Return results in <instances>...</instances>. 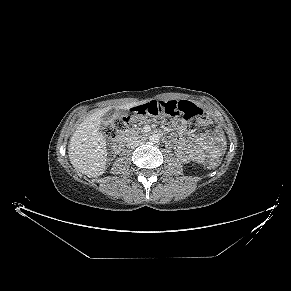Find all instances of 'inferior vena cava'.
<instances>
[{
	"mask_svg": "<svg viewBox=\"0 0 291 291\" xmlns=\"http://www.w3.org/2000/svg\"><path fill=\"white\" fill-rule=\"evenodd\" d=\"M141 144V139L137 136H132L127 140L126 146L128 148H135Z\"/></svg>",
	"mask_w": 291,
	"mask_h": 291,
	"instance_id": "1",
	"label": "inferior vena cava"
}]
</instances>
